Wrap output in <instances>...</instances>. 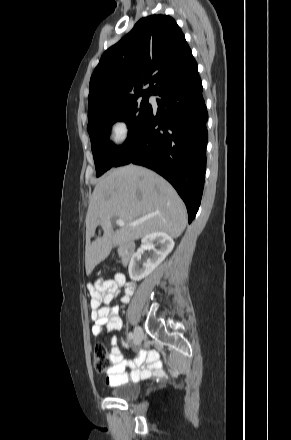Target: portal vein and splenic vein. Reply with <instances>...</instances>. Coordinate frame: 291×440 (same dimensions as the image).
<instances>
[{
    "instance_id": "obj_1",
    "label": "portal vein and splenic vein",
    "mask_w": 291,
    "mask_h": 440,
    "mask_svg": "<svg viewBox=\"0 0 291 440\" xmlns=\"http://www.w3.org/2000/svg\"><path fill=\"white\" fill-rule=\"evenodd\" d=\"M142 221H143V220H139V221L133 222V223L129 224V226H136V225H138L139 223H141ZM116 223H117V225L120 226V227H124V226L126 225L125 222H124L123 220H121V219H118V220L116 221Z\"/></svg>"
}]
</instances>
